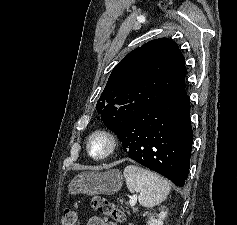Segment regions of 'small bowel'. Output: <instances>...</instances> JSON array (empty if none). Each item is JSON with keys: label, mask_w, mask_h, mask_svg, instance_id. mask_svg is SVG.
<instances>
[{"label": "small bowel", "mask_w": 237, "mask_h": 225, "mask_svg": "<svg viewBox=\"0 0 237 225\" xmlns=\"http://www.w3.org/2000/svg\"><path fill=\"white\" fill-rule=\"evenodd\" d=\"M86 225H117L115 222L107 221L100 216H92Z\"/></svg>", "instance_id": "c3829d8e"}]
</instances>
